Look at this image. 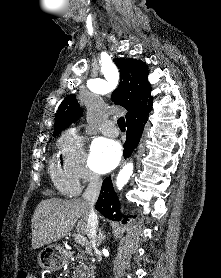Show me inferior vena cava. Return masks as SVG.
<instances>
[{"label": "inferior vena cava", "mask_w": 221, "mask_h": 278, "mask_svg": "<svg viewBox=\"0 0 221 278\" xmlns=\"http://www.w3.org/2000/svg\"><path fill=\"white\" fill-rule=\"evenodd\" d=\"M102 185V179L98 174L92 173L90 175V182L87 186L85 192L83 193V198L88 203V220H87V227H86V234L90 239V243L93 247L96 246L97 242V223H98V217L94 210V205L98 199L100 189Z\"/></svg>", "instance_id": "602c4592"}]
</instances>
